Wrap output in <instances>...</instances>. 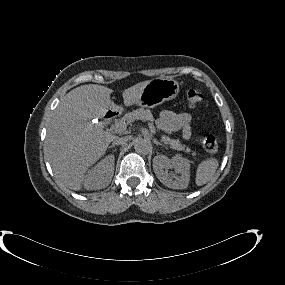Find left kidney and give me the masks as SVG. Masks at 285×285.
<instances>
[{"mask_svg": "<svg viewBox=\"0 0 285 285\" xmlns=\"http://www.w3.org/2000/svg\"><path fill=\"white\" fill-rule=\"evenodd\" d=\"M173 167L180 174L175 180L164 171L165 167ZM153 169L160 180L168 188L185 189L188 187L190 179V160L182 156H174L171 159L164 155H158L153 159Z\"/></svg>", "mask_w": 285, "mask_h": 285, "instance_id": "obj_1", "label": "left kidney"}]
</instances>
